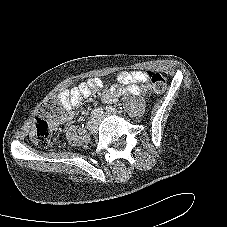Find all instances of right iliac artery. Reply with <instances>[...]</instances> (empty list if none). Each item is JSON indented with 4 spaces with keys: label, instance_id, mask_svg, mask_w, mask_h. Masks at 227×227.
<instances>
[{
    "label": "right iliac artery",
    "instance_id": "82829eb1",
    "mask_svg": "<svg viewBox=\"0 0 227 227\" xmlns=\"http://www.w3.org/2000/svg\"><path fill=\"white\" fill-rule=\"evenodd\" d=\"M104 113V109L103 108H96L91 112L90 118L92 120H95V118H99L100 116H102V114Z\"/></svg>",
    "mask_w": 227,
    "mask_h": 227
}]
</instances>
